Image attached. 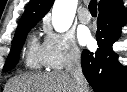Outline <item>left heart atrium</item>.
<instances>
[{"mask_svg": "<svg viewBox=\"0 0 127 92\" xmlns=\"http://www.w3.org/2000/svg\"><path fill=\"white\" fill-rule=\"evenodd\" d=\"M78 37H79V41L83 45H89L92 42V37L87 29L80 30Z\"/></svg>", "mask_w": 127, "mask_h": 92, "instance_id": "1", "label": "left heart atrium"}]
</instances>
